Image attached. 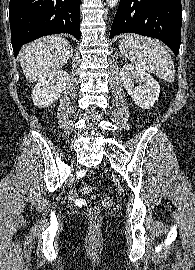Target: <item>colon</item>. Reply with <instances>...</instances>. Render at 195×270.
I'll use <instances>...</instances> for the list:
<instances>
[{
    "label": "colon",
    "instance_id": "5ec220e1",
    "mask_svg": "<svg viewBox=\"0 0 195 270\" xmlns=\"http://www.w3.org/2000/svg\"><path fill=\"white\" fill-rule=\"evenodd\" d=\"M84 193H91L93 188L91 186H85L83 188ZM104 206H110L112 204V199L110 197H105L102 201ZM87 217L91 221H97L100 217L101 211L98 207H91L87 210Z\"/></svg>",
    "mask_w": 195,
    "mask_h": 270
}]
</instances>
